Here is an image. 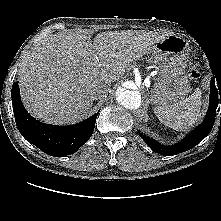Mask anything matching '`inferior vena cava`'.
Listing matches in <instances>:
<instances>
[{"mask_svg": "<svg viewBox=\"0 0 221 221\" xmlns=\"http://www.w3.org/2000/svg\"><path fill=\"white\" fill-rule=\"evenodd\" d=\"M108 93V88L106 86H101L94 91L93 98L95 100L101 99Z\"/></svg>", "mask_w": 221, "mask_h": 221, "instance_id": "obj_1", "label": "inferior vena cava"}]
</instances>
